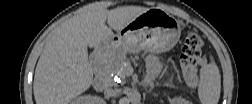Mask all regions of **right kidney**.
Returning <instances> with one entry per match:
<instances>
[{"instance_id": "ca27d5eb", "label": "right kidney", "mask_w": 252, "mask_h": 104, "mask_svg": "<svg viewBox=\"0 0 252 104\" xmlns=\"http://www.w3.org/2000/svg\"><path fill=\"white\" fill-rule=\"evenodd\" d=\"M103 102L100 97L97 96H90V95H83L76 98L72 103L73 104H95Z\"/></svg>"}]
</instances>
